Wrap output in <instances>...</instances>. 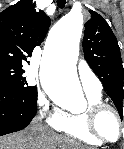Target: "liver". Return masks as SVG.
<instances>
[{
  "mask_svg": "<svg viewBox=\"0 0 124 149\" xmlns=\"http://www.w3.org/2000/svg\"><path fill=\"white\" fill-rule=\"evenodd\" d=\"M60 140L43 127L37 130L29 127L22 132L0 137V149H54ZM67 141L72 149H88L73 140Z\"/></svg>",
  "mask_w": 124,
  "mask_h": 149,
  "instance_id": "liver-1",
  "label": "liver"
}]
</instances>
